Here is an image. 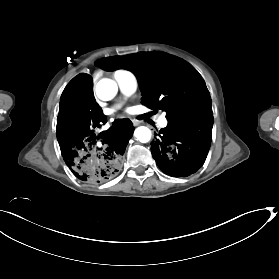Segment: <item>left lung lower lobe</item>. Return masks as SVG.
<instances>
[{
    "instance_id": "1",
    "label": "left lung lower lobe",
    "mask_w": 279,
    "mask_h": 279,
    "mask_svg": "<svg viewBox=\"0 0 279 279\" xmlns=\"http://www.w3.org/2000/svg\"><path fill=\"white\" fill-rule=\"evenodd\" d=\"M213 118L168 123L151 143L158 167L172 177H186L204 163L211 144Z\"/></svg>"
}]
</instances>
